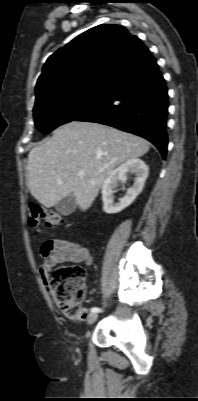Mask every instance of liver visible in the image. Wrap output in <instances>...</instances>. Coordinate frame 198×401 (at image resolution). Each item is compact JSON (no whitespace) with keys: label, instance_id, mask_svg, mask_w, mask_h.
<instances>
[{"label":"liver","instance_id":"obj_1","mask_svg":"<svg viewBox=\"0 0 198 401\" xmlns=\"http://www.w3.org/2000/svg\"><path fill=\"white\" fill-rule=\"evenodd\" d=\"M150 143L106 125L72 121L28 155L27 186L31 195L49 208L73 194L87 210L109 174L118 165L148 152ZM79 171L85 175L80 177Z\"/></svg>","mask_w":198,"mask_h":401}]
</instances>
